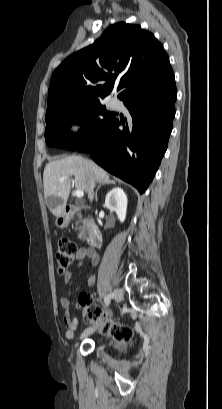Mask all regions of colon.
<instances>
[{
  "instance_id": "1",
  "label": "colon",
  "mask_w": 222,
  "mask_h": 409,
  "mask_svg": "<svg viewBox=\"0 0 222 409\" xmlns=\"http://www.w3.org/2000/svg\"><path fill=\"white\" fill-rule=\"evenodd\" d=\"M76 254V245L74 242L67 238H62L57 242L56 247V261L57 269L60 274H63L66 268L71 264ZM101 309L96 306H89L86 310L87 320H93L98 318L101 315ZM102 333L108 334L113 337V339L118 343L128 342L132 335L133 331L130 327L125 325H120L112 323L107 325Z\"/></svg>"
}]
</instances>
